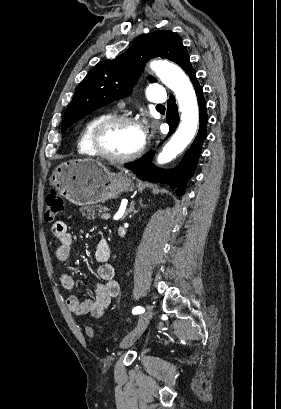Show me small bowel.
<instances>
[{
  "label": "small bowel",
  "mask_w": 281,
  "mask_h": 409,
  "mask_svg": "<svg viewBox=\"0 0 281 409\" xmlns=\"http://www.w3.org/2000/svg\"><path fill=\"white\" fill-rule=\"evenodd\" d=\"M52 234L57 241L56 257L59 262H67L70 258L74 236L68 230V224L64 220L55 221L51 227ZM111 248L106 238L102 237L95 246L94 259L98 263L96 275L99 279L94 285V299L81 301L77 295H70L67 300L68 310L75 315L89 314L94 318L104 315L113 298L120 291L119 282L115 279V269L108 263ZM61 286L66 290H73L75 279L72 274L65 272L60 276ZM88 327L85 331H87Z\"/></svg>",
  "instance_id": "small-bowel-1"
}]
</instances>
